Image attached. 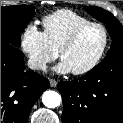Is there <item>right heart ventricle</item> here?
<instances>
[{
    "label": "right heart ventricle",
    "mask_w": 123,
    "mask_h": 123,
    "mask_svg": "<svg viewBox=\"0 0 123 123\" xmlns=\"http://www.w3.org/2000/svg\"><path fill=\"white\" fill-rule=\"evenodd\" d=\"M89 22H91L90 19L69 9H59L41 20L43 33L54 51H58L78 27Z\"/></svg>",
    "instance_id": "1"
}]
</instances>
